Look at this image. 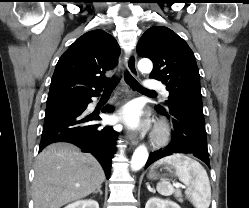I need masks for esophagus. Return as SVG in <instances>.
<instances>
[{"instance_id": "obj_1", "label": "esophagus", "mask_w": 249, "mask_h": 208, "mask_svg": "<svg viewBox=\"0 0 249 208\" xmlns=\"http://www.w3.org/2000/svg\"><path fill=\"white\" fill-rule=\"evenodd\" d=\"M126 66L128 71L135 77L138 76V70H137V57H136V53L132 52L126 61ZM127 138L130 141L131 145L135 146L138 144V139L137 136L134 132L132 131H128L127 132Z\"/></svg>"}]
</instances>
